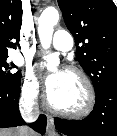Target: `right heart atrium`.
Returning a JSON list of instances; mask_svg holds the SVG:
<instances>
[{
	"instance_id": "d8ad5b80",
	"label": "right heart atrium",
	"mask_w": 117,
	"mask_h": 136,
	"mask_svg": "<svg viewBox=\"0 0 117 136\" xmlns=\"http://www.w3.org/2000/svg\"><path fill=\"white\" fill-rule=\"evenodd\" d=\"M40 91L39 80L31 72H26L21 87L22 99L27 103H35L40 96Z\"/></svg>"
}]
</instances>
